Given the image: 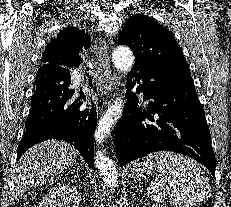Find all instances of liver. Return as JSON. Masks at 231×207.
I'll return each instance as SVG.
<instances>
[{
  "instance_id": "1",
  "label": "liver",
  "mask_w": 231,
  "mask_h": 207,
  "mask_svg": "<svg viewBox=\"0 0 231 207\" xmlns=\"http://www.w3.org/2000/svg\"><path fill=\"white\" fill-rule=\"evenodd\" d=\"M77 155L76 148L63 141L48 140L31 147L16 168L14 192L20 195L32 186L53 181Z\"/></svg>"
}]
</instances>
